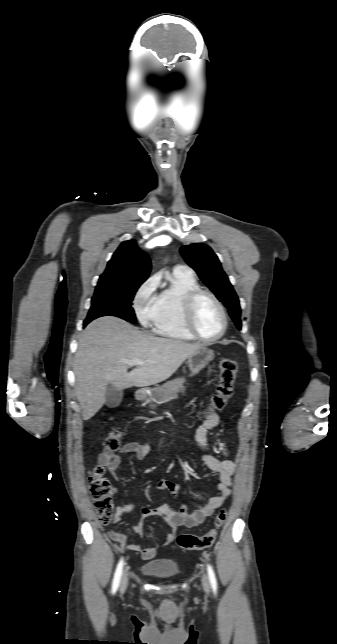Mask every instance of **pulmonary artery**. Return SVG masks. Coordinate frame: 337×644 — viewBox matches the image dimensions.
Instances as JSON below:
<instances>
[{
	"label": "pulmonary artery",
	"mask_w": 337,
	"mask_h": 644,
	"mask_svg": "<svg viewBox=\"0 0 337 644\" xmlns=\"http://www.w3.org/2000/svg\"><path fill=\"white\" fill-rule=\"evenodd\" d=\"M176 270H184V271H189V272H191V270H190L189 268L185 267V266H177V267H176Z\"/></svg>",
	"instance_id": "1"
}]
</instances>
